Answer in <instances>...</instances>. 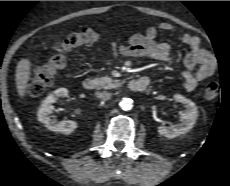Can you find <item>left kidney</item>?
Listing matches in <instances>:
<instances>
[{
    "mask_svg": "<svg viewBox=\"0 0 230 186\" xmlns=\"http://www.w3.org/2000/svg\"><path fill=\"white\" fill-rule=\"evenodd\" d=\"M174 99L175 101L182 103L186 111L181 114L180 123L176 125H171L169 127H158V133L167 138H175L179 135L187 133L194 127V124L198 117V110L194 102L179 94L174 95Z\"/></svg>",
    "mask_w": 230,
    "mask_h": 186,
    "instance_id": "1",
    "label": "left kidney"
}]
</instances>
